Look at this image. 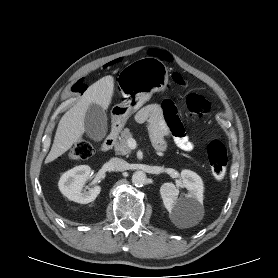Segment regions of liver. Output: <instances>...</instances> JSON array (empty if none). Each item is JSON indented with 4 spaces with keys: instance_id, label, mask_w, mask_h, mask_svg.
Masks as SVG:
<instances>
[{
    "instance_id": "1",
    "label": "liver",
    "mask_w": 278,
    "mask_h": 278,
    "mask_svg": "<svg viewBox=\"0 0 278 278\" xmlns=\"http://www.w3.org/2000/svg\"><path fill=\"white\" fill-rule=\"evenodd\" d=\"M113 93L114 78L111 75L99 79L88 87L78 102L59 121L53 145L45 163H50L64 154L82 137L85 131L84 118L89 105L94 103L105 110L111 103Z\"/></svg>"
}]
</instances>
